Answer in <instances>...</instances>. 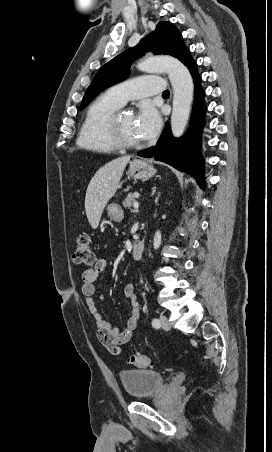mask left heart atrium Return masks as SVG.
<instances>
[{
  "instance_id": "1",
  "label": "left heart atrium",
  "mask_w": 272,
  "mask_h": 452,
  "mask_svg": "<svg viewBox=\"0 0 272 452\" xmlns=\"http://www.w3.org/2000/svg\"><path fill=\"white\" fill-rule=\"evenodd\" d=\"M160 126L161 117L157 109L150 104L143 105L137 124L138 135L140 138H153L158 133Z\"/></svg>"
}]
</instances>
